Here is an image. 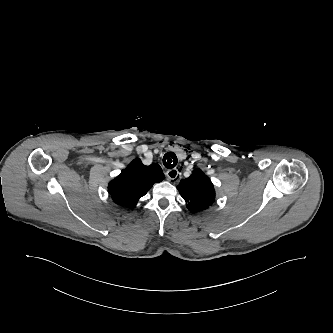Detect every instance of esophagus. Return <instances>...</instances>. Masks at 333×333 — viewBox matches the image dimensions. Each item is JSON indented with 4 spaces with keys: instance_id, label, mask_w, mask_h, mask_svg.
I'll return each instance as SVG.
<instances>
[{
    "instance_id": "obj_1",
    "label": "esophagus",
    "mask_w": 333,
    "mask_h": 333,
    "mask_svg": "<svg viewBox=\"0 0 333 333\" xmlns=\"http://www.w3.org/2000/svg\"><path fill=\"white\" fill-rule=\"evenodd\" d=\"M180 167L169 169L166 172L167 179L169 181H178L181 178V173L179 172Z\"/></svg>"
}]
</instances>
